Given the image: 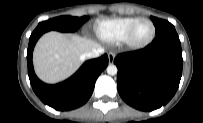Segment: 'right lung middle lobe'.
I'll return each mask as SVG.
<instances>
[{"instance_id": "right-lung-middle-lobe-1", "label": "right lung middle lobe", "mask_w": 203, "mask_h": 123, "mask_svg": "<svg viewBox=\"0 0 203 123\" xmlns=\"http://www.w3.org/2000/svg\"><path fill=\"white\" fill-rule=\"evenodd\" d=\"M88 17H72V16H60L38 24L35 30L47 32L50 30H57L61 32H74L76 31Z\"/></svg>"}]
</instances>
